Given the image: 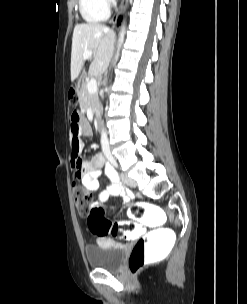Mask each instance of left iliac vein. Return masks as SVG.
Masks as SVG:
<instances>
[{
  "label": "left iliac vein",
  "mask_w": 247,
  "mask_h": 304,
  "mask_svg": "<svg viewBox=\"0 0 247 304\" xmlns=\"http://www.w3.org/2000/svg\"><path fill=\"white\" fill-rule=\"evenodd\" d=\"M120 178H121L122 182L129 187L134 188L137 186L136 181L124 173L120 174Z\"/></svg>",
  "instance_id": "left-iliac-vein-1"
}]
</instances>
